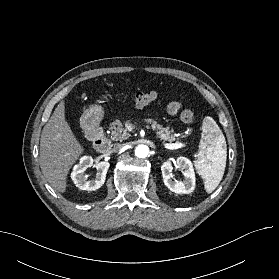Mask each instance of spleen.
Segmentation results:
<instances>
[{
    "mask_svg": "<svg viewBox=\"0 0 279 279\" xmlns=\"http://www.w3.org/2000/svg\"><path fill=\"white\" fill-rule=\"evenodd\" d=\"M200 150L195 161L198 174L204 180L207 193H212L222 180L226 167L227 145L217 123L205 117L202 123Z\"/></svg>",
    "mask_w": 279,
    "mask_h": 279,
    "instance_id": "1",
    "label": "spleen"
}]
</instances>
